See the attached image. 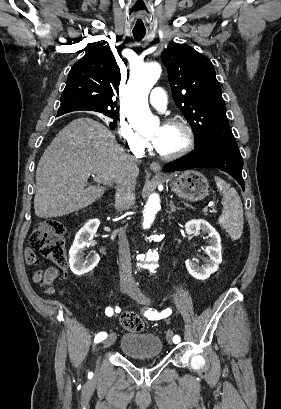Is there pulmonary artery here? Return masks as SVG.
<instances>
[{
  "mask_svg": "<svg viewBox=\"0 0 281 409\" xmlns=\"http://www.w3.org/2000/svg\"><path fill=\"white\" fill-rule=\"evenodd\" d=\"M150 103L154 106L155 110H161L163 106L167 104L165 98V91L160 86H155L152 91V99Z\"/></svg>",
  "mask_w": 281,
  "mask_h": 409,
  "instance_id": "1",
  "label": "pulmonary artery"
}]
</instances>
